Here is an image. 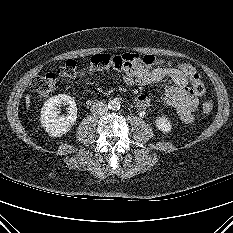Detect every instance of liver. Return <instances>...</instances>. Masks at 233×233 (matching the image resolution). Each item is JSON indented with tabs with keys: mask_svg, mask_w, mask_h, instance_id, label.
<instances>
[{
	"mask_svg": "<svg viewBox=\"0 0 233 233\" xmlns=\"http://www.w3.org/2000/svg\"><path fill=\"white\" fill-rule=\"evenodd\" d=\"M25 103H26L27 109H29V106H30V95H28V94L26 95Z\"/></svg>",
	"mask_w": 233,
	"mask_h": 233,
	"instance_id": "obj_1",
	"label": "liver"
}]
</instances>
